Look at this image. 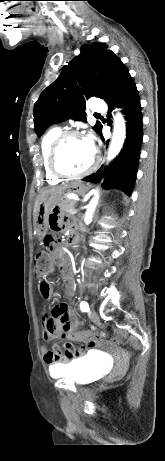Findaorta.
<instances>
[{"label": "aorta", "instance_id": "762f6f07", "mask_svg": "<svg viewBox=\"0 0 165 461\" xmlns=\"http://www.w3.org/2000/svg\"><path fill=\"white\" fill-rule=\"evenodd\" d=\"M126 137V126L125 120L120 112L116 113L115 121H114V131L112 136V141L108 150V157L107 160L111 161L114 159L119 152L121 151L124 141ZM99 199V195L97 191H94V198L87 206V210L85 213L84 221L86 223H90L92 221V217L97 206Z\"/></svg>", "mask_w": 165, "mask_h": 461}]
</instances>
